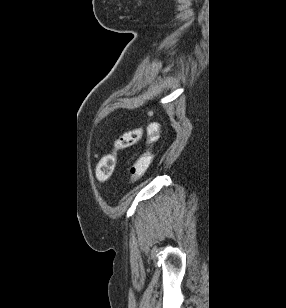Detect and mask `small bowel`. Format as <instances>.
<instances>
[{"label":"small bowel","mask_w":286,"mask_h":308,"mask_svg":"<svg viewBox=\"0 0 286 308\" xmlns=\"http://www.w3.org/2000/svg\"><path fill=\"white\" fill-rule=\"evenodd\" d=\"M154 128H157V130L154 131ZM146 132H147V140L152 139V140L156 141L159 138V135H160L158 124H150L146 128Z\"/></svg>","instance_id":"obj_1"}]
</instances>
